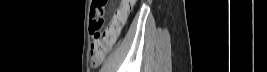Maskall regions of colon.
Masks as SVG:
<instances>
[{
    "mask_svg": "<svg viewBox=\"0 0 267 72\" xmlns=\"http://www.w3.org/2000/svg\"><path fill=\"white\" fill-rule=\"evenodd\" d=\"M107 3V0H96L91 13L89 30L94 37L90 50V64L92 67H97L104 61L119 32V27L115 23H111L107 29L103 30L104 9Z\"/></svg>",
    "mask_w": 267,
    "mask_h": 72,
    "instance_id": "colon-1",
    "label": "colon"
}]
</instances>
